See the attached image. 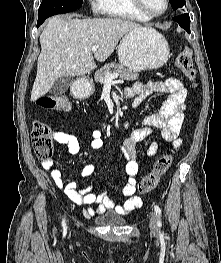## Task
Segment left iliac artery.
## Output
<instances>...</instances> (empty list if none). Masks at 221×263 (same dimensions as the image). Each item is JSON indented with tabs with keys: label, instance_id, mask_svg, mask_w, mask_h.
<instances>
[{
	"label": "left iliac artery",
	"instance_id": "left-iliac-artery-1",
	"mask_svg": "<svg viewBox=\"0 0 221 263\" xmlns=\"http://www.w3.org/2000/svg\"><path fill=\"white\" fill-rule=\"evenodd\" d=\"M154 210L156 212V215H158L159 217V221H158V225H161V220H160V217H161V209L158 205H155L154 206Z\"/></svg>",
	"mask_w": 221,
	"mask_h": 263
}]
</instances>
